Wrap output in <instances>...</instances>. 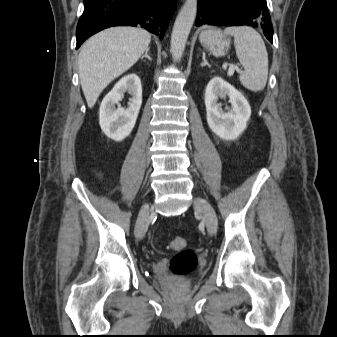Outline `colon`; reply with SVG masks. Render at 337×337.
I'll list each match as a JSON object with an SVG mask.
<instances>
[{"mask_svg": "<svg viewBox=\"0 0 337 337\" xmlns=\"http://www.w3.org/2000/svg\"><path fill=\"white\" fill-rule=\"evenodd\" d=\"M186 241L182 237H175L170 241V247L177 252L170 261V270L175 275L191 273L197 264V258L192 250L185 249Z\"/></svg>", "mask_w": 337, "mask_h": 337, "instance_id": "colon-1", "label": "colon"}]
</instances>
